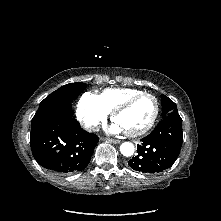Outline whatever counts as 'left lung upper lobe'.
<instances>
[{"instance_id":"5c2ea615","label":"left lung upper lobe","mask_w":221,"mask_h":221,"mask_svg":"<svg viewBox=\"0 0 221 221\" xmlns=\"http://www.w3.org/2000/svg\"><path fill=\"white\" fill-rule=\"evenodd\" d=\"M162 104H163V117L170 116V115H179L177 110V105L169 99L165 95H161Z\"/></svg>"}]
</instances>
